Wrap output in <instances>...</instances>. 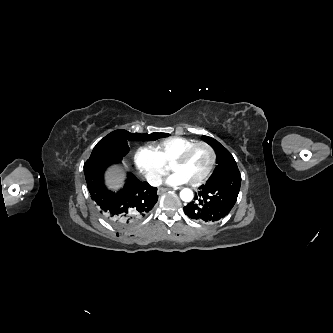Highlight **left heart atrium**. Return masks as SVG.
Listing matches in <instances>:
<instances>
[{
  "instance_id": "39dd6f15",
  "label": "left heart atrium",
  "mask_w": 333,
  "mask_h": 333,
  "mask_svg": "<svg viewBox=\"0 0 333 333\" xmlns=\"http://www.w3.org/2000/svg\"><path fill=\"white\" fill-rule=\"evenodd\" d=\"M189 180L180 172H174L167 178V183L171 186H179L188 183Z\"/></svg>"
}]
</instances>
